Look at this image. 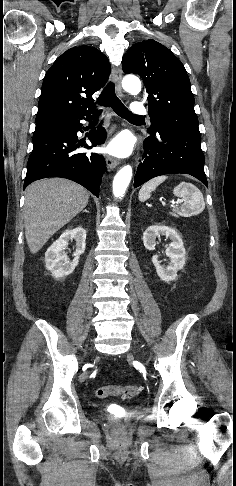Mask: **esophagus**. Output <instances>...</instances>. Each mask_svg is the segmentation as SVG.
Segmentation results:
<instances>
[{"label": "esophagus", "instance_id": "34e87169", "mask_svg": "<svg viewBox=\"0 0 236 486\" xmlns=\"http://www.w3.org/2000/svg\"><path fill=\"white\" fill-rule=\"evenodd\" d=\"M112 78L115 82L116 91H117L118 95L123 96L124 92H123L122 85H121L122 68L120 66L112 68ZM118 164H119V161L116 158H114L112 156H106V165H107L108 169L111 170V169L117 167Z\"/></svg>", "mask_w": 236, "mask_h": 486}]
</instances>
